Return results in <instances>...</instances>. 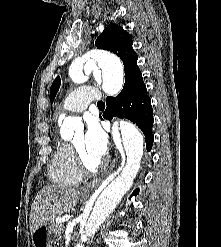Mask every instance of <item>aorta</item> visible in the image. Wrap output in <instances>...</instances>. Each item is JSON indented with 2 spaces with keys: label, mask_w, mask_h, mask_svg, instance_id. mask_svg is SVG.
<instances>
[{
  "label": "aorta",
  "mask_w": 221,
  "mask_h": 247,
  "mask_svg": "<svg viewBox=\"0 0 221 247\" xmlns=\"http://www.w3.org/2000/svg\"><path fill=\"white\" fill-rule=\"evenodd\" d=\"M92 70L102 77L107 92L116 95L123 86V68L120 60L102 51H93L73 62L69 74L73 79H82ZM61 135L71 138L74 131L83 127L76 117H62ZM122 144L126 153V164L120 174L110 182L97 198L85 225L87 236L93 235L109 214L116 208L122 197L130 190L143 156L144 140L139 130L128 121L120 122Z\"/></svg>",
  "instance_id": "762f6f07"
}]
</instances>
